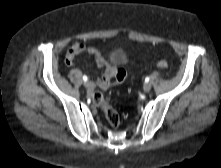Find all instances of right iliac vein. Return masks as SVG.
<instances>
[{
    "instance_id": "obj_1",
    "label": "right iliac vein",
    "mask_w": 221,
    "mask_h": 168,
    "mask_svg": "<svg viewBox=\"0 0 221 168\" xmlns=\"http://www.w3.org/2000/svg\"><path fill=\"white\" fill-rule=\"evenodd\" d=\"M84 86H85V88H87V89H93L94 84H93V82H91V81H86V82L84 83Z\"/></svg>"
}]
</instances>
